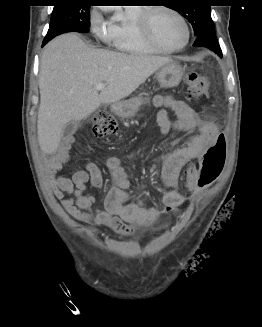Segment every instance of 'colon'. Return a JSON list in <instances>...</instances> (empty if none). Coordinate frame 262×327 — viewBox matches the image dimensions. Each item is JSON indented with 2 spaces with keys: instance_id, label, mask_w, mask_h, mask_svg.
<instances>
[{
  "instance_id": "1",
  "label": "colon",
  "mask_w": 262,
  "mask_h": 327,
  "mask_svg": "<svg viewBox=\"0 0 262 327\" xmlns=\"http://www.w3.org/2000/svg\"><path fill=\"white\" fill-rule=\"evenodd\" d=\"M186 84L189 98H204L208 94V78L197 72L192 71L186 76ZM117 129L116 122L112 114L107 110L98 111L93 118V133L97 137H105L115 133ZM226 158V143L222 135H219L214 144H212L203 154L197 163V173L195 176L196 189L185 200L192 202L196 198V193L209 187L218 177L223 169ZM180 206L167 208V211L173 212Z\"/></svg>"
}]
</instances>
